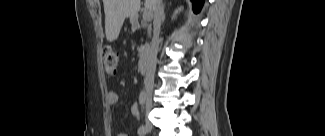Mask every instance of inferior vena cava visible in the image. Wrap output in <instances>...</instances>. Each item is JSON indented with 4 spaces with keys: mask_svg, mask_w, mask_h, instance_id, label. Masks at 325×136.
<instances>
[{
    "mask_svg": "<svg viewBox=\"0 0 325 136\" xmlns=\"http://www.w3.org/2000/svg\"><path fill=\"white\" fill-rule=\"evenodd\" d=\"M152 4V10L154 11V41L152 45V52H151V59L148 66V70L146 73V77L144 80L145 84V91L146 96L148 99H151L152 91L154 87V74L156 69V61H157V52H158V46H159V32H160V26L163 22V4L162 0H150Z\"/></svg>",
    "mask_w": 325,
    "mask_h": 136,
    "instance_id": "602c4592",
    "label": "inferior vena cava"
}]
</instances>
